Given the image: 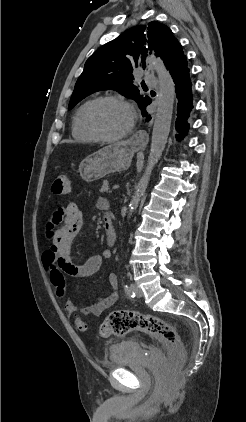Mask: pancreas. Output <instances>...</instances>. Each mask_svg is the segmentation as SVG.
Instances as JSON below:
<instances>
[{
  "label": "pancreas",
  "instance_id": "cf45deb5",
  "mask_svg": "<svg viewBox=\"0 0 246 422\" xmlns=\"http://www.w3.org/2000/svg\"><path fill=\"white\" fill-rule=\"evenodd\" d=\"M108 180H104L103 181V185H102V187H101V189H100V192L101 193H105V192H108L109 191V188H108Z\"/></svg>",
  "mask_w": 246,
  "mask_h": 422
}]
</instances>
